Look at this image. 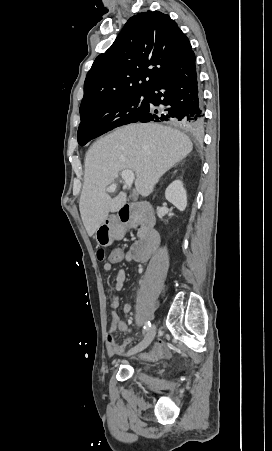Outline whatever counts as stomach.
<instances>
[{
  "instance_id": "obj_1",
  "label": "stomach",
  "mask_w": 272,
  "mask_h": 451,
  "mask_svg": "<svg viewBox=\"0 0 272 451\" xmlns=\"http://www.w3.org/2000/svg\"><path fill=\"white\" fill-rule=\"evenodd\" d=\"M94 237L98 245H103V247H107V245H111V243H113L111 229L110 227H106L105 224L97 227Z\"/></svg>"
}]
</instances>
